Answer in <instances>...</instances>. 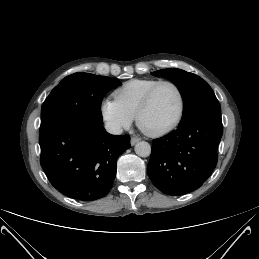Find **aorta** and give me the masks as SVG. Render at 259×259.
Returning <instances> with one entry per match:
<instances>
[{
	"label": "aorta",
	"mask_w": 259,
	"mask_h": 259,
	"mask_svg": "<svg viewBox=\"0 0 259 259\" xmlns=\"http://www.w3.org/2000/svg\"><path fill=\"white\" fill-rule=\"evenodd\" d=\"M135 153L140 157H148L151 154V146L148 142L141 141L135 145Z\"/></svg>",
	"instance_id": "762f6f07"
}]
</instances>
